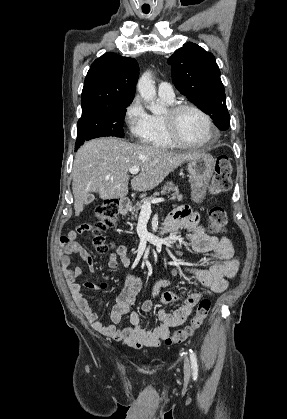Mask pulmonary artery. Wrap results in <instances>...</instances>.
Wrapping results in <instances>:
<instances>
[{
    "label": "pulmonary artery",
    "mask_w": 287,
    "mask_h": 419,
    "mask_svg": "<svg viewBox=\"0 0 287 419\" xmlns=\"http://www.w3.org/2000/svg\"><path fill=\"white\" fill-rule=\"evenodd\" d=\"M158 94L161 98H164V99H167V100H173L174 99L173 88L168 82H161L158 85Z\"/></svg>",
    "instance_id": "obj_1"
}]
</instances>
